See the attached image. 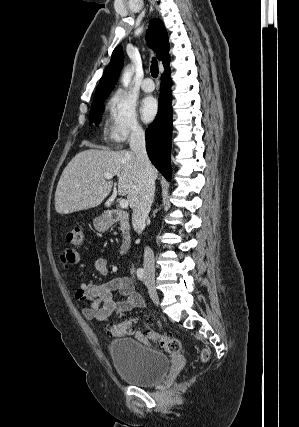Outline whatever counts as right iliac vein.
Masks as SVG:
<instances>
[{
    "mask_svg": "<svg viewBox=\"0 0 299 427\" xmlns=\"http://www.w3.org/2000/svg\"><path fill=\"white\" fill-rule=\"evenodd\" d=\"M145 284H146V287H147V289H148V292H149V295H150V297H151V299H152V301L155 303V304H159V298H158V294H157V291H156V287H155V282H154V280L153 279H150V278H147L146 280H145Z\"/></svg>",
    "mask_w": 299,
    "mask_h": 427,
    "instance_id": "right-iliac-vein-1",
    "label": "right iliac vein"
}]
</instances>
